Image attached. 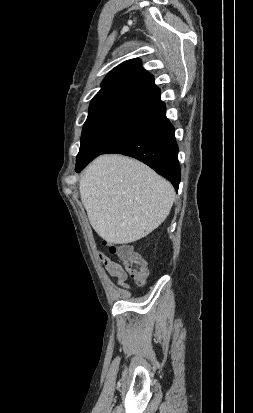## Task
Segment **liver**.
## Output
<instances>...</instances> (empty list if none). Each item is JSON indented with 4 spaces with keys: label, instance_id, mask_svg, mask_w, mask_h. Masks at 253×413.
<instances>
[{
    "label": "liver",
    "instance_id": "obj_1",
    "mask_svg": "<svg viewBox=\"0 0 253 413\" xmlns=\"http://www.w3.org/2000/svg\"><path fill=\"white\" fill-rule=\"evenodd\" d=\"M79 190L93 229L113 244L147 236L167 218L175 198L170 182L145 164L116 154L93 160Z\"/></svg>",
    "mask_w": 253,
    "mask_h": 413
}]
</instances>
